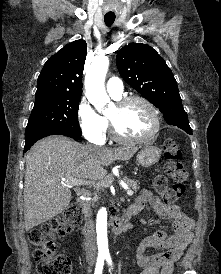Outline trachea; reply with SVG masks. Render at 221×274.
Returning a JSON list of instances; mask_svg holds the SVG:
<instances>
[{
  "instance_id": "3493384b",
  "label": "trachea",
  "mask_w": 221,
  "mask_h": 274,
  "mask_svg": "<svg viewBox=\"0 0 221 274\" xmlns=\"http://www.w3.org/2000/svg\"><path fill=\"white\" fill-rule=\"evenodd\" d=\"M104 21H105V24L107 25V26H111L113 23H114V21H115V17L114 16H104Z\"/></svg>"
}]
</instances>
